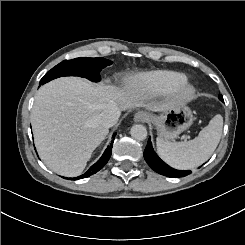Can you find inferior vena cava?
<instances>
[{
    "label": "inferior vena cava",
    "instance_id": "inferior-vena-cava-1",
    "mask_svg": "<svg viewBox=\"0 0 245 245\" xmlns=\"http://www.w3.org/2000/svg\"><path fill=\"white\" fill-rule=\"evenodd\" d=\"M119 111L116 108L108 109L99 116L100 124L106 128L113 127L119 119Z\"/></svg>",
    "mask_w": 245,
    "mask_h": 245
}]
</instances>
